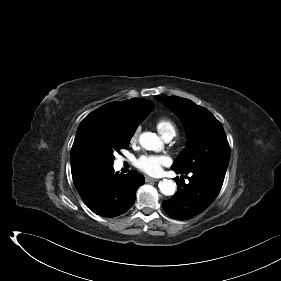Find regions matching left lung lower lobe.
<instances>
[{"label":"left lung lower lobe","mask_w":281,"mask_h":281,"mask_svg":"<svg viewBox=\"0 0 281 281\" xmlns=\"http://www.w3.org/2000/svg\"><path fill=\"white\" fill-rule=\"evenodd\" d=\"M173 170L176 173L191 175L188 178V184L183 182V178L180 180L176 177L177 193L162 203L165 212L179 220L190 219L204 211L219 194L226 173V169L217 167H207L191 172Z\"/></svg>","instance_id":"0a47b994"}]
</instances>
